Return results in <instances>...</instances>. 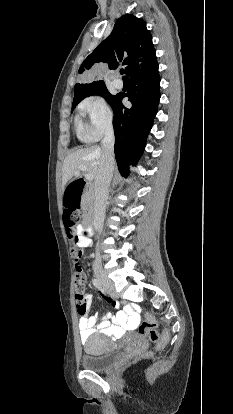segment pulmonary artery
Returning a JSON list of instances; mask_svg holds the SVG:
<instances>
[{"mask_svg":"<svg viewBox=\"0 0 233 414\" xmlns=\"http://www.w3.org/2000/svg\"><path fill=\"white\" fill-rule=\"evenodd\" d=\"M113 84L118 89H121L123 87V82L118 78L114 79Z\"/></svg>","mask_w":233,"mask_h":414,"instance_id":"1","label":"pulmonary artery"}]
</instances>
